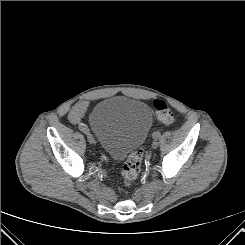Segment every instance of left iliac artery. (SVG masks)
Instances as JSON below:
<instances>
[{
    "label": "left iliac artery",
    "mask_w": 245,
    "mask_h": 245,
    "mask_svg": "<svg viewBox=\"0 0 245 245\" xmlns=\"http://www.w3.org/2000/svg\"><path fill=\"white\" fill-rule=\"evenodd\" d=\"M160 137V132L156 131L153 133V138L158 139Z\"/></svg>",
    "instance_id": "left-iliac-artery-1"
}]
</instances>
